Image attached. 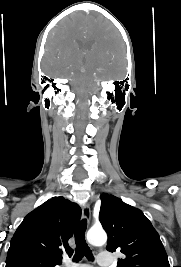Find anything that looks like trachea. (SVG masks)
<instances>
[{
	"instance_id": "3493384b",
	"label": "trachea",
	"mask_w": 181,
	"mask_h": 267,
	"mask_svg": "<svg viewBox=\"0 0 181 267\" xmlns=\"http://www.w3.org/2000/svg\"><path fill=\"white\" fill-rule=\"evenodd\" d=\"M87 228V221L82 220L75 229V243H76V252L74 255V261H80L84 256L89 260H93V254L90 248L88 247L85 240V232Z\"/></svg>"
}]
</instances>
